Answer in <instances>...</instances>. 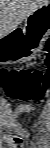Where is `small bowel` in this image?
Listing matches in <instances>:
<instances>
[{"label":"small bowel","instance_id":"small-bowel-1","mask_svg":"<svg viewBox=\"0 0 50 148\" xmlns=\"http://www.w3.org/2000/svg\"><path fill=\"white\" fill-rule=\"evenodd\" d=\"M35 110L36 109L31 105L22 104L17 106L13 112L8 114L9 123L14 128L16 135L11 140L3 139L2 147H10V148L27 147L23 143L27 140L28 134L23 127L15 124L14 117L16 113L30 112ZM39 147H46V145H40Z\"/></svg>","mask_w":50,"mask_h":148}]
</instances>
